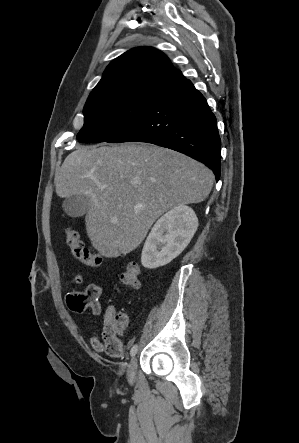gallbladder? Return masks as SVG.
<instances>
[{"label": "gallbladder", "mask_w": 299, "mask_h": 443, "mask_svg": "<svg viewBox=\"0 0 299 443\" xmlns=\"http://www.w3.org/2000/svg\"><path fill=\"white\" fill-rule=\"evenodd\" d=\"M91 206L90 197L84 194L72 195L63 202L64 212L73 218L86 214Z\"/></svg>", "instance_id": "gallbladder-1"}]
</instances>
